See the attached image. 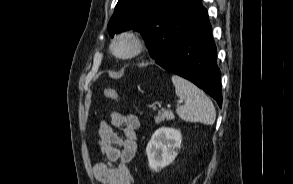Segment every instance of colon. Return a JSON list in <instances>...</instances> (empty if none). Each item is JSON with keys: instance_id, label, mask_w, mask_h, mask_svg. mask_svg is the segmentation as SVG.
<instances>
[{"instance_id": "5ec220e1", "label": "colon", "mask_w": 293, "mask_h": 184, "mask_svg": "<svg viewBox=\"0 0 293 184\" xmlns=\"http://www.w3.org/2000/svg\"><path fill=\"white\" fill-rule=\"evenodd\" d=\"M103 94L106 98L114 100V101H117L120 99L118 92L114 88H111V87H105L103 89Z\"/></svg>"}]
</instances>
